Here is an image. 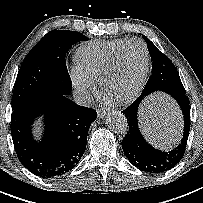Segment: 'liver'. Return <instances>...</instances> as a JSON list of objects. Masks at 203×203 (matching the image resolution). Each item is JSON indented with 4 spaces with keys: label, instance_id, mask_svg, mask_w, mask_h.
I'll list each match as a JSON object with an SVG mask.
<instances>
[{
    "label": "liver",
    "instance_id": "6515ba94",
    "mask_svg": "<svg viewBox=\"0 0 203 203\" xmlns=\"http://www.w3.org/2000/svg\"><path fill=\"white\" fill-rule=\"evenodd\" d=\"M156 105V102H153ZM143 130L155 145L166 148L174 144L181 129L180 117L173 104L164 102L163 107H148L147 114L141 112Z\"/></svg>",
    "mask_w": 203,
    "mask_h": 203
}]
</instances>
